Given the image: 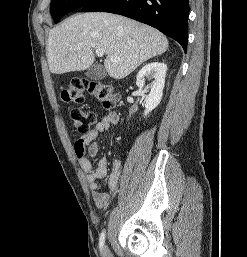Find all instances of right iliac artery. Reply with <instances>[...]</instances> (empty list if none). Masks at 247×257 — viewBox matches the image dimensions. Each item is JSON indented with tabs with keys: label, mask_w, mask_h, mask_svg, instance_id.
I'll return each mask as SVG.
<instances>
[{
	"label": "right iliac artery",
	"mask_w": 247,
	"mask_h": 257,
	"mask_svg": "<svg viewBox=\"0 0 247 257\" xmlns=\"http://www.w3.org/2000/svg\"><path fill=\"white\" fill-rule=\"evenodd\" d=\"M104 242H105V231H103L101 233L100 238H99V248H100L101 252L103 250Z\"/></svg>",
	"instance_id": "obj_1"
}]
</instances>
